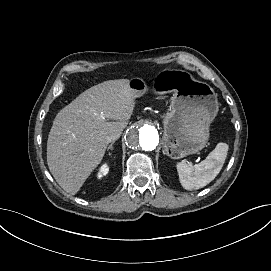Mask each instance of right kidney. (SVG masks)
I'll return each mask as SVG.
<instances>
[{
    "instance_id": "right-kidney-1",
    "label": "right kidney",
    "mask_w": 271,
    "mask_h": 271,
    "mask_svg": "<svg viewBox=\"0 0 271 271\" xmlns=\"http://www.w3.org/2000/svg\"><path fill=\"white\" fill-rule=\"evenodd\" d=\"M108 172V167L106 165L102 166L100 169V172L98 174V177H102L103 175L107 174Z\"/></svg>"
}]
</instances>
